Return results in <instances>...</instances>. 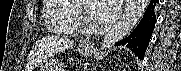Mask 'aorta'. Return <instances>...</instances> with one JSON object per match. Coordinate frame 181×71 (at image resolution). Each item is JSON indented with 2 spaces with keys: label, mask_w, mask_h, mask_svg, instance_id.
Here are the masks:
<instances>
[{
  "label": "aorta",
  "mask_w": 181,
  "mask_h": 71,
  "mask_svg": "<svg viewBox=\"0 0 181 71\" xmlns=\"http://www.w3.org/2000/svg\"><path fill=\"white\" fill-rule=\"evenodd\" d=\"M147 5L148 0H130L123 16L104 36L101 45L102 52L100 58H102L104 53L114 46V44L131 32L138 21L142 18Z\"/></svg>",
  "instance_id": "aorta-1"
}]
</instances>
